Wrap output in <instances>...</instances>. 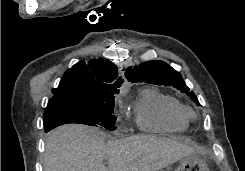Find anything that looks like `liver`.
Masks as SVG:
<instances>
[{"mask_svg":"<svg viewBox=\"0 0 245 171\" xmlns=\"http://www.w3.org/2000/svg\"><path fill=\"white\" fill-rule=\"evenodd\" d=\"M104 139L105 134L93 127L60 126L48 134L44 171H159L198 150L188 143L148 135L108 143Z\"/></svg>","mask_w":245,"mask_h":171,"instance_id":"6515ba94","label":"liver"}]
</instances>
